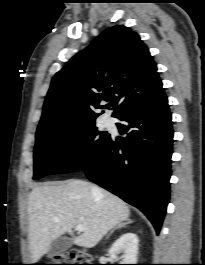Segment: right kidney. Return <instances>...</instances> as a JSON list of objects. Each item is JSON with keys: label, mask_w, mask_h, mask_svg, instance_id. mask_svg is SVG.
Wrapping results in <instances>:
<instances>
[{"label": "right kidney", "mask_w": 205, "mask_h": 265, "mask_svg": "<svg viewBox=\"0 0 205 265\" xmlns=\"http://www.w3.org/2000/svg\"><path fill=\"white\" fill-rule=\"evenodd\" d=\"M138 237L136 234L128 232L120 236L109 249V255L117 260L118 255L123 253L121 264H137Z\"/></svg>", "instance_id": "ca27d5eb"}]
</instances>
